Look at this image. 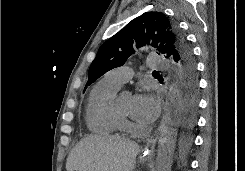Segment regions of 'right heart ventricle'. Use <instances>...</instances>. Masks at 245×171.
I'll use <instances>...</instances> for the list:
<instances>
[{
	"label": "right heart ventricle",
	"mask_w": 245,
	"mask_h": 171,
	"mask_svg": "<svg viewBox=\"0 0 245 171\" xmlns=\"http://www.w3.org/2000/svg\"><path fill=\"white\" fill-rule=\"evenodd\" d=\"M118 89L104 79L92 88L86 105V123L91 132L117 134L121 130L123 119L111 104Z\"/></svg>",
	"instance_id": "e07e8e85"
}]
</instances>
